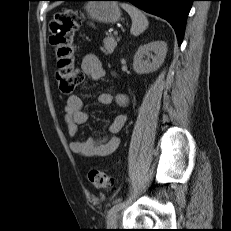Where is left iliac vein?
<instances>
[{
  "mask_svg": "<svg viewBox=\"0 0 231 231\" xmlns=\"http://www.w3.org/2000/svg\"><path fill=\"white\" fill-rule=\"evenodd\" d=\"M118 218H119V213L117 211L113 215L110 216V218H109V220L107 222V227L108 228H116L117 227Z\"/></svg>",
  "mask_w": 231,
  "mask_h": 231,
  "instance_id": "1",
  "label": "left iliac vein"
}]
</instances>
